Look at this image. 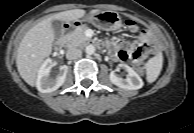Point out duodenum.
I'll return each instance as SVG.
<instances>
[{
	"label": "duodenum",
	"mask_w": 194,
	"mask_h": 133,
	"mask_svg": "<svg viewBox=\"0 0 194 133\" xmlns=\"http://www.w3.org/2000/svg\"><path fill=\"white\" fill-rule=\"evenodd\" d=\"M82 27V22L80 20H75L73 23H68V24H65L63 26V29H62V36L60 38L57 39V41L55 42V47L57 49H60L64 46L65 44V35L72 29V28H75V29H80ZM94 44L98 47H101L102 44L101 43H98V42H94Z\"/></svg>",
	"instance_id": "obj_1"
}]
</instances>
